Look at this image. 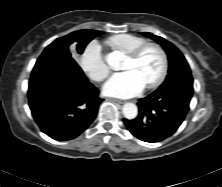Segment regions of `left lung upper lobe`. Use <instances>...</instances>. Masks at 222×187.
Masks as SVG:
<instances>
[{
	"mask_svg": "<svg viewBox=\"0 0 222 187\" xmlns=\"http://www.w3.org/2000/svg\"><path fill=\"white\" fill-rule=\"evenodd\" d=\"M142 34L157 41L168 55V75L164 83L156 91H161L171 83H176L177 86H180L181 76L191 75L190 67L183 54L176 46L160 36L153 35L149 32H143Z\"/></svg>",
	"mask_w": 222,
	"mask_h": 187,
	"instance_id": "1",
	"label": "left lung upper lobe"
}]
</instances>
